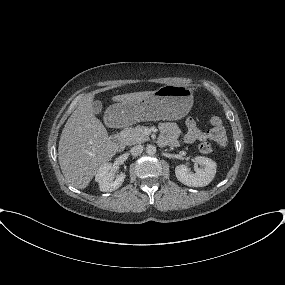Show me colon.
I'll return each mask as SVG.
<instances>
[{
  "label": "colon",
  "instance_id": "1",
  "mask_svg": "<svg viewBox=\"0 0 285 285\" xmlns=\"http://www.w3.org/2000/svg\"><path fill=\"white\" fill-rule=\"evenodd\" d=\"M210 130L209 136L216 145L222 149L228 146V137L224 121L218 116H212L210 118ZM211 146L209 143L204 142L199 146V151L201 153L207 154L211 152Z\"/></svg>",
  "mask_w": 285,
  "mask_h": 285
}]
</instances>
